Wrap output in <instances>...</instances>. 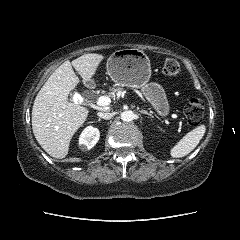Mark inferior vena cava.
Masks as SVG:
<instances>
[{
    "label": "inferior vena cava",
    "instance_id": "602c4592",
    "mask_svg": "<svg viewBox=\"0 0 240 240\" xmlns=\"http://www.w3.org/2000/svg\"><path fill=\"white\" fill-rule=\"evenodd\" d=\"M114 115H115V113H111V112H99L98 113V116L100 118H103V119H106V120L111 119Z\"/></svg>",
    "mask_w": 240,
    "mask_h": 240
}]
</instances>
